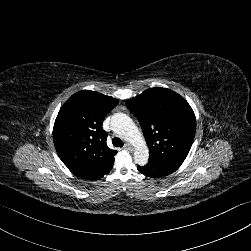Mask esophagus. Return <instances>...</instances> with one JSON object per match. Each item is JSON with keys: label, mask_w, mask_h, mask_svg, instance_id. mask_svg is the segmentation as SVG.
I'll use <instances>...</instances> for the list:
<instances>
[{"label": "esophagus", "mask_w": 251, "mask_h": 251, "mask_svg": "<svg viewBox=\"0 0 251 251\" xmlns=\"http://www.w3.org/2000/svg\"><path fill=\"white\" fill-rule=\"evenodd\" d=\"M124 148L126 150H130V151H132L134 149L133 146L130 143H128V142L124 145Z\"/></svg>", "instance_id": "obj_1"}]
</instances>
